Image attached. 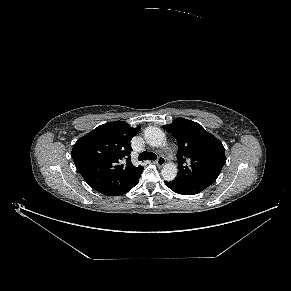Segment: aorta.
I'll use <instances>...</instances> for the list:
<instances>
[{"label": "aorta", "instance_id": "aorta-1", "mask_svg": "<svg viewBox=\"0 0 291 291\" xmlns=\"http://www.w3.org/2000/svg\"><path fill=\"white\" fill-rule=\"evenodd\" d=\"M144 139L152 147H161L166 145V137L163 131L157 127L150 126L144 130ZM177 166L174 163H167L161 170V175L166 181H172L177 176Z\"/></svg>", "mask_w": 291, "mask_h": 291}]
</instances>
